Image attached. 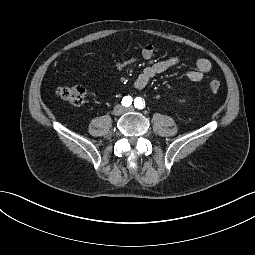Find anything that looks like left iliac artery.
Here are the masks:
<instances>
[{
  "instance_id": "1",
  "label": "left iliac artery",
  "mask_w": 255,
  "mask_h": 255,
  "mask_svg": "<svg viewBox=\"0 0 255 255\" xmlns=\"http://www.w3.org/2000/svg\"><path fill=\"white\" fill-rule=\"evenodd\" d=\"M134 106L137 108V109H143L145 107V101L141 98V97H137L135 100H134Z\"/></svg>"
}]
</instances>
